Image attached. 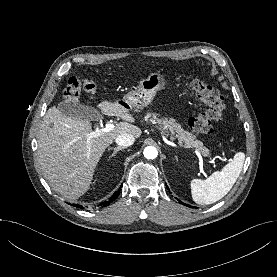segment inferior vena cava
Listing matches in <instances>:
<instances>
[{"instance_id":"inferior-vena-cava-1","label":"inferior vena cava","mask_w":277,"mask_h":277,"mask_svg":"<svg viewBox=\"0 0 277 277\" xmlns=\"http://www.w3.org/2000/svg\"><path fill=\"white\" fill-rule=\"evenodd\" d=\"M115 141L119 146L125 148L131 146L134 143L135 138L130 134H121L116 138Z\"/></svg>"}]
</instances>
